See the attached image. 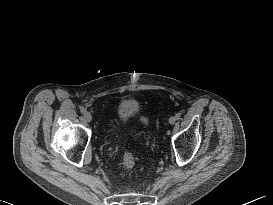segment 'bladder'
I'll return each instance as SVG.
<instances>
[{"instance_id": "obj_1", "label": "bladder", "mask_w": 273, "mask_h": 205, "mask_svg": "<svg viewBox=\"0 0 273 205\" xmlns=\"http://www.w3.org/2000/svg\"><path fill=\"white\" fill-rule=\"evenodd\" d=\"M139 109V104L134 99H123L118 102L116 105V113L117 117L120 121H128L130 120L135 114L137 113ZM111 133L115 134L116 129L115 127L111 128Z\"/></svg>"}]
</instances>
